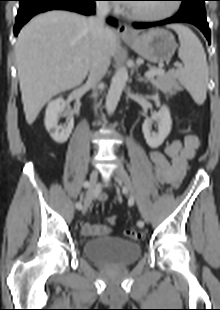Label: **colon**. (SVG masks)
I'll return each mask as SVG.
<instances>
[{
    "instance_id": "obj_1",
    "label": "colon",
    "mask_w": 220,
    "mask_h": 310,
    "mask_svg": "<svg viewBox=\"0 0 220 310\" xmlns=\"http://www.w3.org/2000/svg\"><path fill=\"white\" fill-rule=\"evenodd\" d=\"M117 221V217L112 215L108 218V222L110 224H115ZM124 235L132 240H139L142 238L143 234L135 229H127L124 231Z\"/></svg>"
}]
</instances>
